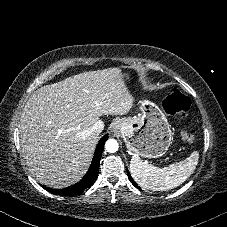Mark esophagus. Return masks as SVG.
I'll list each match as a JSON object with an SVG mask.
<instances>
[{"label":"esophagus","mask_w":227,"mask_h":227,"mask_svg":"<svg viewBox=\"0 0 227 227\" xmlns=\"http://www.w3.org/2000/svg\"><path fill=\"white\" fill-rule=\"evenodd\" d=\"M119 127V121H115L113 124H112V128L113 129H117Z\"/></svg>","instance_id":"34e87169"}]
</instances>
